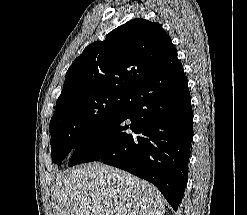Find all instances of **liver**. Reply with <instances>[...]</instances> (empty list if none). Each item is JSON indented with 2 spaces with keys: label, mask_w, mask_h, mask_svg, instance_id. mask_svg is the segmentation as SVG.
Here are the masks:
<instances>
[{
  "label": "liver",
  "mask_w": 247,
  "mask_h": 215,
  "mask_svg": "<svg viewBox=\"0 0 247 215\" xmlns=\"http://www.w3.org/2000/svg\"><path fill=\"white\" fill-rule=\"evenodd\" d=\"M54 215H164V199L149 182L102 163L64 172L53 192Z\"/></svg>",
  "instance_id": "liver-1"
}]
</instances>
